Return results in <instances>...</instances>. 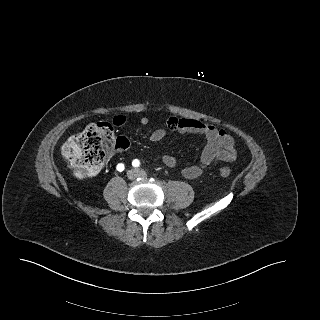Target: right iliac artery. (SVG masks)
<instances>
[{"mask_svg": "<svg viewBox=\"0 0 320 320\" xmlns=\"http://www.w3.org/2000/svg\"><path fill=\"white\" fill-rule=\"evenodd\" d=\"M116 168H117L118 171L121 172V171H123L125 169V166H124V164L119 163Z\"/></svg>", "mask_w": 320, "mask_h": 320, "instance_id": "82829eb1", "label": "right iliac artery"}]
</instances>
